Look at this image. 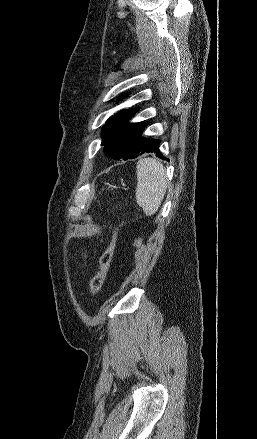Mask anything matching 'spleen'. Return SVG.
<instances>
[{"instance_id":"3e777b00","label":"spleen","mask_w":257,"mask_h":439,"mask_svg":"<svg viewBox=\"0 0 257 439\" xmlns=\"http://www.w3.org/2000/svg\"><path fill=\"white\" fill-rule=\"evenodd\" d=\"M136 201L147 216L154 215L166 193L165 169L154 158L140 159L137 163Z\"/></svg>"}]
</instances>
